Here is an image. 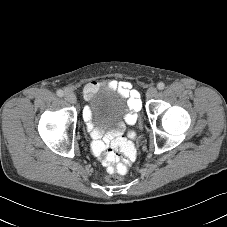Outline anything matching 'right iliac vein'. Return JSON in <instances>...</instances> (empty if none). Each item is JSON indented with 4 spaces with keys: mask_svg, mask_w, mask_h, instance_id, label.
I'll return each instance as SVG.
<instances>
[{
    "mask_svg": "<svg viewBox=\"0 0 227 227\" xmlns=\"http://www.w3.org/2000/svg\"><path fill=\"white\" fill-rule=\"evenodd\" d=\"M64 98L69 103H76V96L72 91H66L64 94Z\"/></svg>",
    "mask_w": 227,
    "mask_h": 227,
    "instance_id": "63e3f726",
    "label": "right iliac vein"
}]
</instances>
